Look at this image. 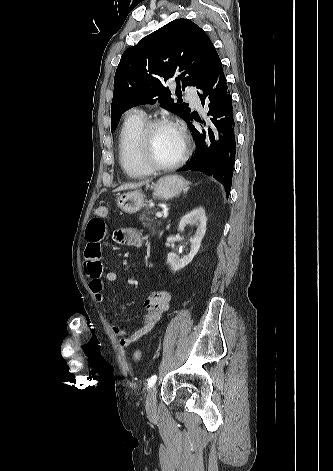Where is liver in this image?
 Listing matches in <instances>:
<instances>
[{
    "label": "liver",
    "mask_w": 333,
    "mask_h": 471,
    "mask_svg": "<svg viewBox=\"0 0 333 471\" xmlns=\"http://www.w3.org/2000/svg\"><path fill=\"white\" fill-rule=\"evenodd\" d=\"M149 181L146 182H140V183H128L121 185L120 187L117 188V191H122V190H129V189H136L138 187H141L144 184H147Z\"/></svg>",
    "instance_id": "1"
}]
</instances>
